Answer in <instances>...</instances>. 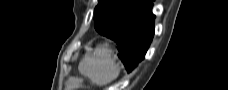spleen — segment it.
Returning a JSON list of instances; mask_svg holds the SVG:
<instances>
[{
    "label": "spleen",
    "mask_w": 228,
    "mask_h": 90,
    "mask_svg": "<svg viewBox=\"0 0 228 90\" xmlns=\"http://www.w3.org/2000/svg\"><path fill=\"white\" fill-rule=\"evenodd\" d=\"M80 70L83 75L99 86L112 82L120 74V68L107 46L97 48L91 57L84 60Z\"/></svg>",
    "instance_id": "1"
}]
</instances>
